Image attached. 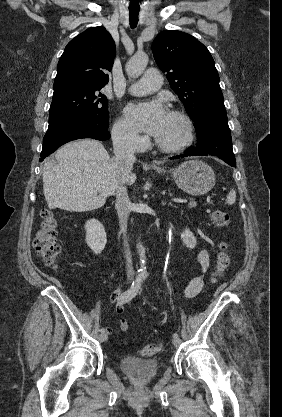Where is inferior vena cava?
I'll use <instances>...</instances> for the list:
<instances>
[{
  "instance_id": "602c4592",
  "label": "inferior vena cava",
  "mask_w": 282,
  "mask_h": 417,
  "mask_svg": "<svg viewBox=\"0 0 282 417\" xmlns=\"http://www.w3.org/2000/svg\"><path fill=\"white\" fill-rule=\"evenodd\" d=\"M114 162L121 168L123 174H129L132 170L133 162L136 158L134 156V144L131 136L125 130H112ZM116 202L117 215L119 219L120 235L124 239V251L126 259L127 279L133 281V261L129 245L127 243V221L131 211V202L129 200L128 192L124 182L119 184L116 188Z\"/></svg>"
}]
</instances>
